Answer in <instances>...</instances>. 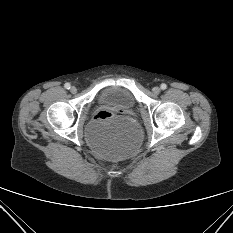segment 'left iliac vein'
Segmentation results:
<instances>
[{
  "label": "left iliac vein",
  "instance_id": "left-iliac-vein-1",
  "mask_svg": "<svg viewBox=\"0 0 233 233\" xmlns=\"http://www.w3.org/2000/svg\"><path fill=\"white\" fill-rule=\"evenodd\" d=\"M152 91H153L154 94H159L160 93V88L157 87V86L153 87Z\"/></svg>",
  "mask_w": 233,
  "mask_h": 233
}]
</instances>
